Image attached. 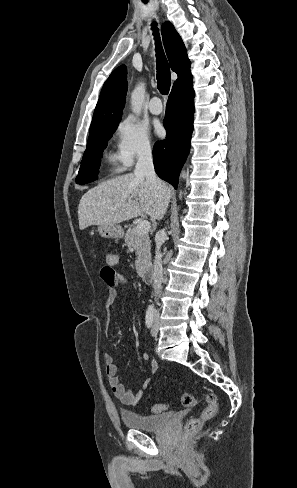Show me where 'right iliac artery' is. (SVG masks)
Instances as JSON below:
<instances>
[{
  "label": "right iliac artery",
  "mask_w": 297,
  "mask_h": 488,
  "mask_svg": "<svg viewBox=\"0 0 297 488\" xmlns=\"http://www.w3.org/2000/svg\"><path fill=\"white\" fill-rule=\"evenodd\" d=\"M154 320V308L153 307H148L146 311V316H145V322L148 328H150L153 324Z\"/></svg>",
  "instance_id": "obj_1"
}]
</instances>
